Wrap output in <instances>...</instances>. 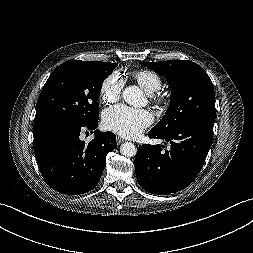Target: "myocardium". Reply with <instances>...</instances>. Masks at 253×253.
<instances>
[{
  "label": "myocardium",
  "instance_id": "obj_1",
  "mask_svg": "<svg viewBox=\"0 0 253 253\" xmlns=\"http://www.w3.org/2000/svg\"><path fill=\"white\" fill-rule=\"evenodd\" d=\"M155 100L158 102V103H164L165 102V99L162 95L158 94V95H155Z\"/></svg>",
  "mask_w": 253,
  "mask_h": 253
}]
</instances>
